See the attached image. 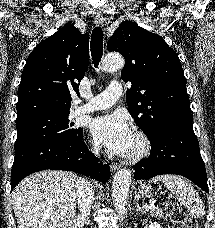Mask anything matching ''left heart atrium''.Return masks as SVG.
<instances>
[{"label": "left heart atrium", "mask_w": 215, "mask_h": 228, "mask_svg": "<svg viewBox=\"0 0 215 228\" xmlns=\"http://www.w3.org/2000/svg\"><path fill=\"white\" fill-rule=\"evenodd\" d=\"M91 132L97 142L106 145L117 155L126 154L133 142V132L121 112L97 117L91 123Z\"/></svg>", "instance_id": "1"}]
</instances>
